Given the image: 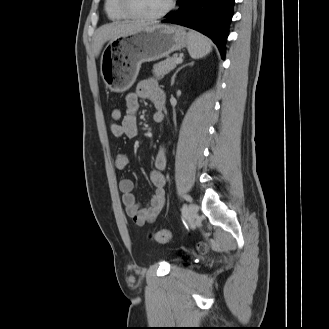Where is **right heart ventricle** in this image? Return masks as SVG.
Masks as SVG:
<instances>
[{
  "label": "right heart ventricle",
  "instance_id": "e07e8e85",
  "mask_svg": "<svg viewBox=\"0 0 329 329\" xmlns=\"http://www.w3.org/2000/svg\"><path fill=\"white\" fill-rule=\"evenodd\" d=\"M105 12L108 18L112 21H123L128 19L120 9L118 0H105Z\"/></svg>",
  "mask_w": 329,
  "mask_h": 329
}]
</instances>
